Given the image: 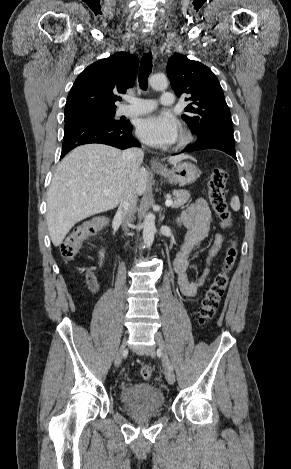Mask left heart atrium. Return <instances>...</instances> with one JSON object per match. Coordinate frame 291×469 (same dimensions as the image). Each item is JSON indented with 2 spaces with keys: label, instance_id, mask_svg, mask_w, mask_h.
<instances>
[{
  "label": "left heart atrium",
  "instance_id": "1",
  "mask_svg": "<svg viewBox=\"0 0 291 469\" xmlns=\"http://www.w3.org/2000/svg\"><path fill=\"white\" fill-rule=\"evenodd\" d=\"M178 122L166 114H152L141 119L137 135L145 143L163 147L173 143L178 136Z\"/></svg>",
  "mask_w": 291,
  "mask_h": 469
}]
</instances>
